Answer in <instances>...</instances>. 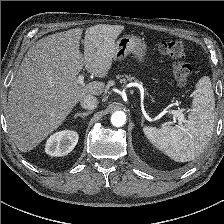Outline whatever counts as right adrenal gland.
Returning <instances> with one entry per match:
<instances>
[{
  "mask_svg": "<svg viewBox=\"0 0 224 224\" xmlns=\"http://www.w3.org/2000/svg\"><path fill=\"white\" fill-rule=\"evenodd\" d=\"M89 114H91L90 111H88V112H83V113H76V114L74 115V118L82 117V118L84 119V118H85L86 116H88Z\"/></svg>",
  "mask_w": 224,
  "mask_h": 224,
  "instance_id": "1",
  "label": "right adrenal gland"
}]
</instances>
